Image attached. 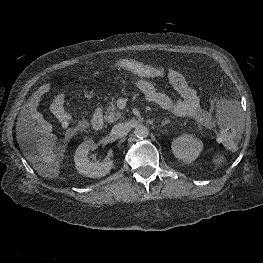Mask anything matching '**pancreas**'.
<instances>
[{"mask_svg":"<svg viewBox=\"0 0 263 263\" xmlns=\"http://www.w3.org/2000/svg\"><path fill=\"white\" fill-rule=\"evenodd\" d=\"M120 118H122V113L115 106V99L113 98L109 106L107 107V111L105 113L104 119L107 122L112 123Z\"/></svg>","mask_w":263,"mask_h":263,"instance_id":"cf45deb5","label":"pancreas"}]
</instances>
